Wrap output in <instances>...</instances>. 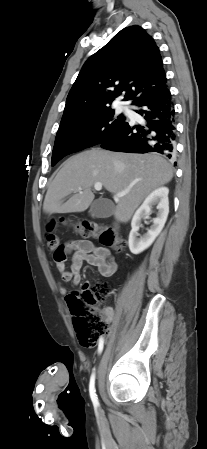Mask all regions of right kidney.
<instances>
[{
    "instance_id": "1",
    "label": "right kidney",
    "mask_w": 207,
    "mask_h": 449,
    "mask_svg": "<svg viewBox=\"0 0 207 449\" xmlns=\"http://www.w3.org/2000/svg\"><path fill=\"white\" fill-rule=\"evenodd\" d=\"M168 193L167 187L154 190L135 212L131 221L132 230L129 234V249L133 254H139L146 250L162 231L169 213ZM153 205H157V217L153 219V224L147 233L139 238L138 230L141 222L151 214Z\"/></svg>"
}]
</instances>
